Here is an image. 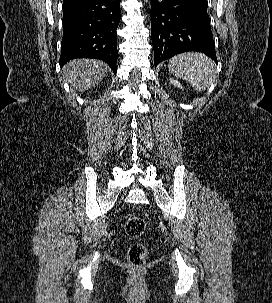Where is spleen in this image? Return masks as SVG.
Masks as SVG:
<instances>
[{
    "mask_svg": "<svg viewBox=\"0 0 272 303\" xmlns=\"http://www.w3.org/2000/svg\"><path fill=\"white\" fill-rule=\"evenodd\" d=\"M169 72L186 80L197 91L206 90L216 78L215 63L202 53H183L169 60Z\"/></svg>",
    "mask_w": 272,
    "mask_h": 303,
    "instance_id": "3e777b00",
    "label": "spleen"
}]
</instances>
